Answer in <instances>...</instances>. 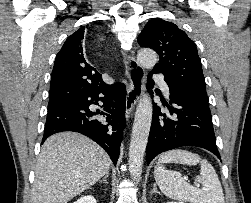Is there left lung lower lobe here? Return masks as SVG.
<instances>
[{
	"mask_svg": "<svg viewBox=\"0 0 251 203\" xmlns=\"http://www.w3.org/2000/svg\"><path fill=\"white\" fill-rule=\"evenodd\" d=\"M155 73L150 72L149 85L154 84L151 74ZM169 89L170 105L162 101L169 109V114L162 113L157 105L153 106L146 148L147 164L158 154L182 146L201 147L220 158L208 105L185 91Z\"/></svg>",
	"mask_w": 251,
	"mask_h": 203,
	"instance_id": "1",
	"label": "left lung lower lobe"
}]
</instances>
